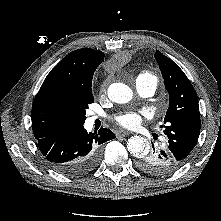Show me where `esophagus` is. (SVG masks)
Instances as JSON below:
<instances>
[{
	"label": "esophagus",
	"mask_w": 221,
	"mask_h": 221,
	"mask_svg": "<svg viewBox=\"0 0 221 221\" xmlns=\"http://www.w3.org/2000/svg\"><path fill=\"white\" fill-rule=\"evenodd\" d=\"M130 134L131 132L126 131V130H120L117 132V136H122V137L129 136Z\"/></svg>",
	"instance_id": "esophagus-1"
}]
</instances>
